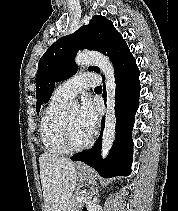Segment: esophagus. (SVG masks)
Masks as SVG:
<instances>
[{
    "label": "esophagus",
    "instance_id": "1",
    "mask_svg": "<svg viewBox=\"0 0 178 211\" xmlns=\"http://www.w3.org/2000/svg\"><path fill=\"white\" fill-rule=\"evenodd\" d=\"M77 167L78 168L85 167V164L80 162V163L77 164Z\"/></svg>",
    "mask_w": 178,
    "mask_h": 211
}]
</instances>
